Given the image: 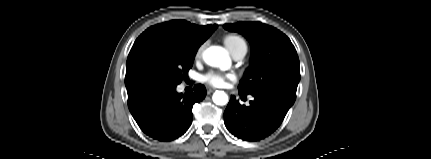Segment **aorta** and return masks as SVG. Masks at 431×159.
<instances>
[{
    "label": "aorta",
    "mask_w": 431,
    "mask_h": 159,
    "mask_svg": "<svg viewBox=\"0 0 431 159\" xmlns=\"http://www.w3.org/2000/svg\"><path fill=\"white\" fill-rule=\"evenodd\" d=\"M204 61L210 66H223L229 62V57L225 49L218 46H212L206 49L203 53ZM213 102L216 105H226L228 96L224 91H216L213 94Z\"/></svg>",
    "instance_id": "obj_1"
}]
</instances>
